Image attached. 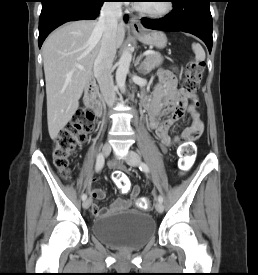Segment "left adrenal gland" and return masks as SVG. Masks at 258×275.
Segmentation results:
<instances>
[{
	"label": "left adrenal gland",
	"instance_id": "left-adrenal-gland-1",
	"mask_svg": "<svg viewBox=\"0 0 258 275\" xmlns=\"http://www.w3.org/2000/svg\"><path fill=\"white\" fill-rule=\"evenodd\" d=\"M138 63H139V59L135 62L134 66L136 67L137 71L140 72V68H137Z\"/></svg>",
	"mask_w": 258,
	"mask_h": 275
}]
</instances>
